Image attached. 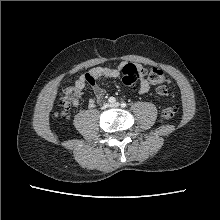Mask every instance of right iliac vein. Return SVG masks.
I'll return each instance as SVG.
<instances>
[{"label": "right iliac vein", "mask_w": 220, "mask_h": 220, "mask_svg": "<svg viewBox=\"0 0 220 220\" xmlns=\"http://www.w3.org/2000/svg\"><path fill=\"white\" fill-rule=\"evenodd\" d=\"M104 108H108L109 107V105L108 104H104V106H103Z\"/></svg>", "instance_id": "63e3f726"}]
</instances>
